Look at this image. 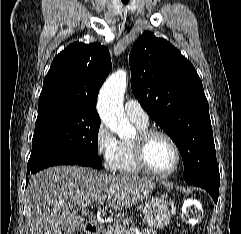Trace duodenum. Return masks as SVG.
Wrapping results in <instances>:
<instances>
[{
    "label": "duodenum",
    "instance_id": "obj_1",
    "mask_svg": "<svg viewBox=\"0 0 241 234\" xmlns=\"http://www.w3.org/2000/svg\"><path fill=\"white\" fill-rule=\"evenodd\" d=\"M85 234H98V225L95 220H91L85 224Z\"/></svg>",
    "mask_w": 241,
    "mask_h": 234
}]
</instances>
